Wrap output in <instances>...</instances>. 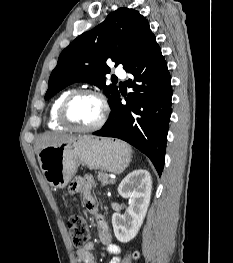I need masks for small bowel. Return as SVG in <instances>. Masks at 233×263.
<instances>
[{
  "mask_svg": "<svg viewBox=\"0 0 233 263\" xmlns=\"http://www.w3.org/2000/svg\"><path fill=\"white\" fill-rule=\"evenodd\" d=\"M95 185L94 178L90 175L78 177L73 180L70 185V193H80L83 196L86 209L96 214L97 219V237L100 242L105 246L107 252L114 255L109 263H121L122 249L113 242L112 235L109 231L108 225L102 216L97 214V206L91 194V190ZM78 263H97L93 254V243L88 241L87 244L77 251Z\"/></svg>",
  "mask_w": 233,
  "mask_h": 263,
  "instance_id": "small-bowel-1",
  "label": "small bowel"
}]
</instances>
